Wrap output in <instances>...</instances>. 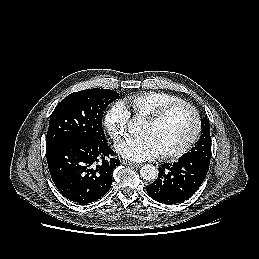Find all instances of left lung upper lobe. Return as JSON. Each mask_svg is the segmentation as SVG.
I'll use <instances>...</instances> for the list:
<instances>
[{"instance_id":"5c2ea615","label":"left lung upper lobe","mask_w":259,"mask_h":259,"mask_svg":"<svg viewBox=\"0 0 259 259\" xmlns=\"http://www.w3.org/2000/svg\"><path fill=\"white\" fill-rule=\"evenodd\" d=\"M201 123H202V132H201L200 139L196 143L195 147H193L185 155L210 163L211 136H210L209 121L207 120L206 117H204Z\"/></svg>"}]
</instances>
